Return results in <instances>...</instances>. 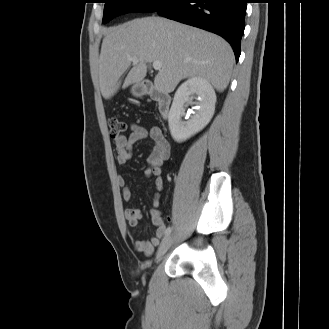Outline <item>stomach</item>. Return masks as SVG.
Wrapping results in <instances>:
<instances>
[{"instance_id": "0dacf381", "label": "stomach", "mask_w": 329, "mask_h": 329, "mask_svg": "<svg viewBox=\"0 0 329 329\" xmlns=\"http://www.w3.org/2000/svg\"><path fill=\"white\" fill-rule=\"evenodd\" d=\"M147 92V88L142 82L135 83L131 88V93L136 96L140 97Z\"/></svg>"}]
</instances>
